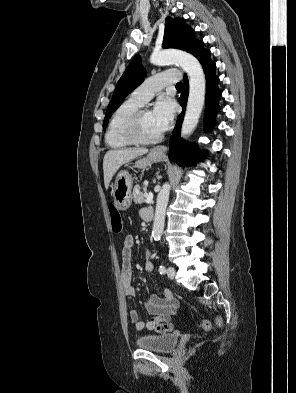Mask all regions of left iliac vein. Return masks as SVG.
Masks as SVG:
<instances>
[{
    "label": "left iliac vein",
    "mask_w": 296,
    "mask_h": 393,
    "mask_svg": "<svg viewBox=\"0 0 296 393\" xmlns=\"http://www.w3.org/2000/svg\"><path fill=\"white\" fill-rule=\"evenodd\" d=\"M167 276H168L170 279H173V278H174V276H175V269H174V267H172V266H169V267H168V269H167Z\"/></svg>",
    "instance_id": "4c4485c4"
}]
</instances>
